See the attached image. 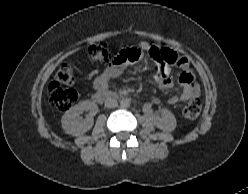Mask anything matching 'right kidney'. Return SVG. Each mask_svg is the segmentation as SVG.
I'll list each match as a JSON object with an SVG mask.
<instances>
[{
  "mask_svg": "<svg viewBox=\"0 0 248 194\" xmlns=\"http://www.w3.org/2000/svg\"><path fill=\"white\" fill-rule=\"evenodd\" d=\"M88 112L86 118L82 120L80 114ZM98 106L91 101H83L71 107L62 116L61 123L65 133L78 136L90 130L94 124L93 117L98 113Z\"/></svg>",
  "mask_w": 248,
  "mask_h": 194,
  "instance_id": "right-kidney-1",
  "label": "right kidney"
}]
</instances>
